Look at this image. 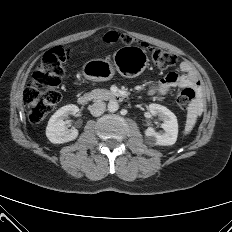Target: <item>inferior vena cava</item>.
Returning <instances> with one entry per match:
<instances>
[{"label": "inferior vena cava", "mask_w": 232, "mask_h": 232, "mask_svg": "<svg viewBox=\"0 0 232 232\" xmlns=\"http://www.w3.org/2000/svg\"><path fill=\"white\" fill-rule=\"evenodd\" d=\"M106 109V104L105 102L102 101H96L93 103L90 107V112L93 116L97 117L100 116L104 113Z\"/></svg>", "instance_id": "obj_1"}]
</instances>
